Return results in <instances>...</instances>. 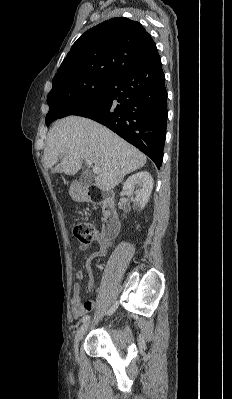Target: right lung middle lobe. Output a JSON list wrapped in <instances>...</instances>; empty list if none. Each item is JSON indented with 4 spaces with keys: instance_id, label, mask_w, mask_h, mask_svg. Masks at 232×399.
I'll use <instances>...</instances> for the list:
<instances>
[{
    "instance_id": "dd1d6c3e",
    "label": "right lung middle lobe",
    "mask_w": 232,
    "mask_h": 399,
    "mask_svg": "<svg viewBox=\"0 0 232 399\" xmlns=\"http://www.w3.org/2000/svg\"><path fill=\"white\" fill-rule=\"evenodd\" d=\"M109 82L110 78L89 79L70 86L62 93L48 95L49 112L46 115V125L49 126L70 107L98 98Z\"/></svg>"
}]
</instances>
